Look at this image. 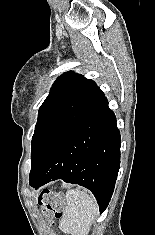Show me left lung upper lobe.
Returning <instances> with one entry per match:
<instances>
[{
  "instance_id": "1",
  "label": "left lung upper lobe",
  "mask_w": 155,
  "mask_h": 235,
  "mask_svg": "<svg viewBox=\"0 0 155 235\" xmlns=\"http://www.w3.org/2000/svg\"><path fill=\"white\" fill-rule=\"evenodd\" d=\"M104 93L94 81L66 72L41 105L32 137L31 172L36 174L62 139L85 119Z\"/></svg>"
}]
</instances>
